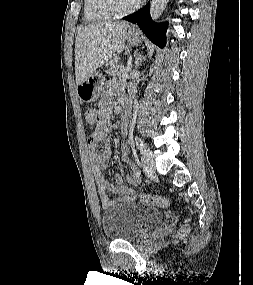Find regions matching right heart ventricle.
<instances>
[{
	"label": "right heart ventricle",
	"mask_w": 253,
	"mask_h": 285,
	"mask_svg": "<svg viewBox=\"0 0 253 285\" xmlns=\"http://www.w3.org/2000/svg\"><path fill=\"white\" fill-rule=\"evenodd\" d=\"M83 14L84 20L88 23H98L111 18L100 9L98 0H84Z\"/></svg>",
	"instance_id": "obj_1"
}]
</instances>
